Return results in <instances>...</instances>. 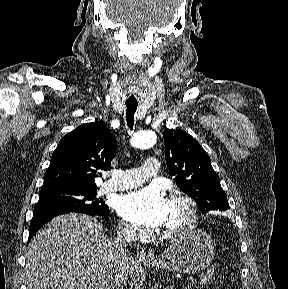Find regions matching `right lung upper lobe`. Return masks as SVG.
<instances>
[{"label": "right lung upper lobe", "instance_id": "right-lung-upper-lobe-1", "mask_svg": "<svg viewBox=\"0 0 288 289\" xmlns=\"http://www.w3.org/2000/svg\"><path fill=\"white\" fill-rule=\"evenodd\" d=\"M116 147V139L105 123L79 126L60 140L42 188L95 187V178L111 169Z\"/></svg>", "mask_w": 288, "mask_h": 289}]
</instances>
